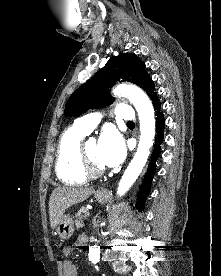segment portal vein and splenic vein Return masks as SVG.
I'll list each match as a JSON object with an SVG mask.
<instances>
[{"label": "portal vein and splenic vein", "instance_id": "portal-vein-and-splenic-vein-1", "mask_svg": "<svg viewBox=\"0 0 221 276\" xmlns=\"http://www.w3.org/2000/svg\"><path fill=\"white\" fill-rule=\"evenodd\" d=\"M90 216V212L88 211L87 213H86V217H89Z\"/></svg>", "mask_w": 221, "mask_h": 276}]
</instances>
